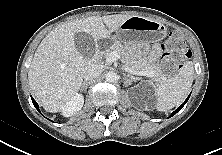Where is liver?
Returning a JSON list of instances; mask_svg holds the SVG:
<instances>
[{
  "mask_svg": "<svg viewBox=\"0 0 222 155\" xmlns=\"http://www.w3.org/2000/svg\"><path fill=\"white\" fill-rule=\"evenodd\" d=\"M131 17L122 14L92 16L62 24L46 35L28 72L30 88L46 111H62L78 94L84 69L93 64L77 50L74 35L85 32L95 41L107 38Z\"/></svg>",
  "mask_w": 222,
  "mask_h": 155,
  "instance_id": "6515ba94",
  "label": "liver"
}]
</instances>
